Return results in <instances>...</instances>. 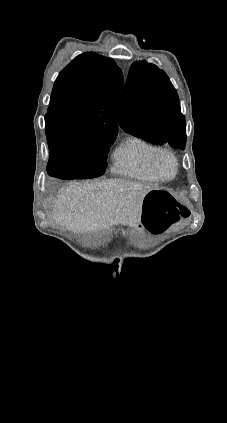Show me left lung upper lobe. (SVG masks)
Segmentation results:
<instances>
[{
  "label": "left lung upper lobe",
  "mask_w": 227,
  "mask_h": 423,
  "mask_svg": "<svg viewBox=\"0 0 227 423\" xmlns=\"http://www.w3.org/2000/svg\"><path fill=\"white\" fill-rule=\"evenodd\" d=\"M121 128L153 144L185 148L186 121L166 73L145 61L129 70L119 105Z\"/></svg>",
  "instance_id": "5c2ea615"
}]
</instances>
